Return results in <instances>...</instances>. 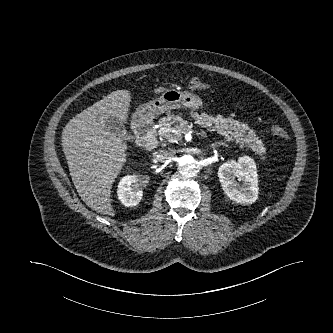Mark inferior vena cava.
<instances>
[{"label":"inferior vena cava","instance_id":"602c4592","mask_svg":"<svg viewBox=\"0 0 333 333\" xmlns=\"http://www.w3.org/2000/svg\"><path fill=\"white\" fill-rule=\"evenodd\" d=\"M175 155V151L172 149L158 150L153 153V156L160 162H166Z\"/></svg>","mask_w":333,"mask_h":333}]
</instances>
